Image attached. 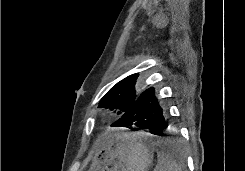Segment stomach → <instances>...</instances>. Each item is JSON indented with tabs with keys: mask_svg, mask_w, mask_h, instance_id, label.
Returning <instances> with one entry per match:
<instances>
[{
	"mask_svg": "<svg viewBox=\"0 0 245 171\" xmlns=\"http://www.w3.org/2000/svg\"><path fill=\"white\" fill-rule=\"evenodd\" d=\"M153 148L137 133L114 132L104 136L88 171H148Z\"/></svg>",
	"mask_w": 245,
	"mask_h": 171,
	"instance_id": "stomach-1",
	"label": "stomach"
}]
</instances>
